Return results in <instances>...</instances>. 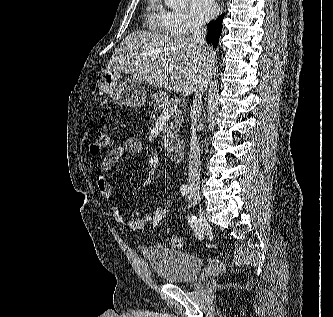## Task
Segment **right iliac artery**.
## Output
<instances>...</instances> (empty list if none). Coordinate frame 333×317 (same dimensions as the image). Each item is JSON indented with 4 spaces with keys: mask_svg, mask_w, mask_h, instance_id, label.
<instances>
[{
    "mask_svg": "<svg viewBox=\"0 0 333 317\" xmlns=\"http://www.w3.org/2000/svg\"><path fill=\"white\" fill-rule=\"evenodd\" d=\"M180 191H181L183 196H187L190 192V187L188 185L184 184V185L181 186ZM188 223L191 226V228L194 230L196 236L199 239H203L204 238V231L201 229L196 216H194V215L190 216L189 219H188Z\"/></svg>",
    "mask_w": 333,
    "mask_h": 317,
    "instance_id": "82829eb1",
    "label": "right iliac artery"
}]
</instances>
